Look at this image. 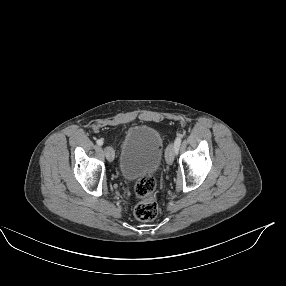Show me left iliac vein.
<instances>
[{
  "instance_id": "1",
  "label": "left iliac vein",
  "mask_w": 286,
  "mask_h": 286,
  "mask_svg": "<svg viewBox=\"0 0 286 286\" xmlns=\"http://www.w3.org/2000/svg\"><path fill=\"white\" fill-rule=\"evenodd\" d=\"M175 153H176V149H175L174 144H169L166 149V153H165V159L168 165H172L174 158H175Z\"/></svg>"
}]
</instances>
